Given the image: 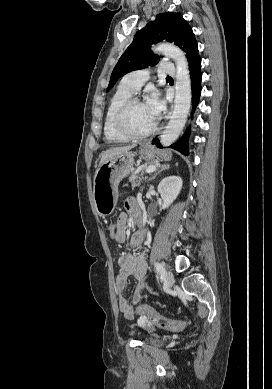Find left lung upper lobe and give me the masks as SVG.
I'll return each mask as SVG.
<instances>
[{"label": "left lung upper lobe", "instance_id": "obj_1", "mask_svg": "<svg viewBox=\"0 0 272 389\" xmlns=\"http://www.w3.org/2000/svg\"><path fill=\"white\" fill-rule=\"evenodd\" d=\"M162 40L174 42L189 58L197 47L195 35L190 25L178 13H162L156 19L139 30L131 45L120 57L111 74L107 91L111 89L116 80L133 70L155 65L159 57L152 54V44Z\"/></svg>", "mask_w": 272, "mask_h": 389}]
</instances>
